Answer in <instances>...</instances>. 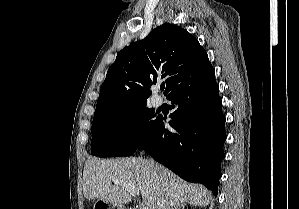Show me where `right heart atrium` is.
Segmentation results:
<instances>
[{"label": "right heart atrium", "instance_id": "1", "mask_svg": "<svg viewBox=\"0 0 299 209\" xmlns=\"http://www.w3.org/2000/svg\"><path fill=\"white\" fill-rule=\"evenodd\" d=\"M135 126L132 122H124L119 128V135L126 138L131 136L134 133Z\"/></svg>", "mask_w": 299, "mask_h": 209}]
</instances>
